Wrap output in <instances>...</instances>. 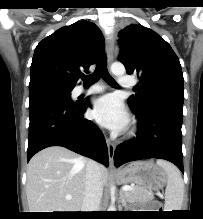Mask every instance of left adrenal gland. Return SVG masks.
<instances>
[{
	"label": "left adrenal gland",
	"mask_w": 203,
	"mask_h": 219,
	"mask_svg": "<svg viewBox=\"0 0 203 219\" xmlns=\"http://www.w3.org/2000/svg\"><path fill=\"white\" fill-rule=\"evenodd\" d=\"M119 194H120V200H119V202L122 203V206H125V207H126V200H125L123 191L120 190ZM120 207H121V206H120Z\"/></svg>",
	"instance_id": "left-adrenal-gland-1"
}]
</instances>
